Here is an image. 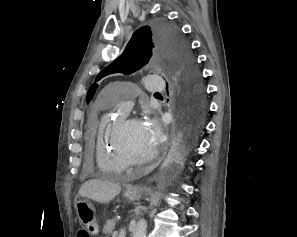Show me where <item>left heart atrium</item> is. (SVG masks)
Masks as SVG:
<instances>
[{"mask_svg":"<svg viewBox=\"0 0 297 237\" xmlns=\"http://www.w3.org/2000/svg\"><path fill=\"white\" fill-rule=\"evenodd\" d=\"M140 124L146 138L156 147L161 138V127L158 120L150 116H145L140 121Z\"/></svg>","mask_w":297,"mask_h":237,"instance_id":"left-heart-atrium-1","label":"left heart atrium"}]
</instances>
